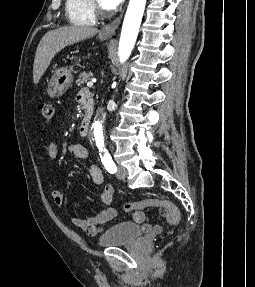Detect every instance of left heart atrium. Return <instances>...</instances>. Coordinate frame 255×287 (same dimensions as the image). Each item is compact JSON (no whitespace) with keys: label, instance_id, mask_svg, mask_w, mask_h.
Returning a JSON list of instances; mask_svg holds the SVG:
<instances>
[{"label":"left heart atrium","instance_id":"39dd6f15","mask_svg":"<svg viewBox=\"0 0 255 287\" xmlns=\"http://www.w3.org/2000/svg\"><path fill=\"white\" fill-rule=\"evenodd\" d=\"M110 5H114L118 0H106Z\"/></svg>","mask_w":255,"mask_h":287}]
</instances>
